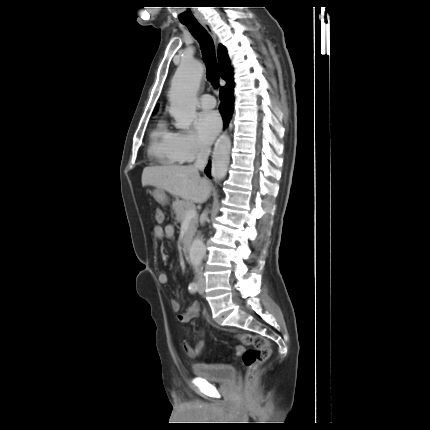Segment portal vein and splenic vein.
I'll list each match as a JSON object with an SVG mask.
<instances>
[{
  "label": "portal vein and splenic vein",
  "mask_w": 430,
  "mask_h": 430,
  "mask_svg": "<svg viewBox=\"0 0 430 430\" xmlns=\"http://www.w3.org/2000/svg\"><path fill=\"white\" fill-rule=\"evenodd\" d=\"M197 215V211L195 208H190L187 212H186V216H185V220H190L191 218H193L194 216Z\"/></svg>",
  "instance_id": "portal-vein-and-splenic-vein-1"
}]
</instances>
